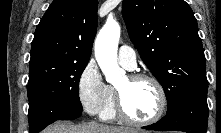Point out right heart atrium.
<instances>
[{
  "instance_id": "obj_1",
  "label": "right heart atrium",
  "mask_w": 221,
  "mask_h": 133,
  "mask_svg": "<svg viewBox=\"0 0 221 133\" xmlns=\"http://www.w3.org/2000/svg\"><path fill=\"white\" fill-rule=\"evenodd\" d=\"M77 96L83 110L90 115H99L108 101V86L94 60L84 66L78 77Z\"/></svg>"
}]
</instances>
